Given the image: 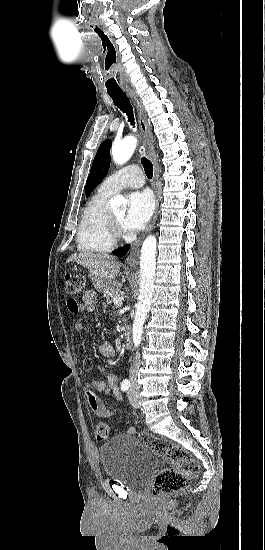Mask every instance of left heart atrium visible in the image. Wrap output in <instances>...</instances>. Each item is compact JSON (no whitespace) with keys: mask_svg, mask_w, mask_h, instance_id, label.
I'll return each instance as SVG.
<instances>
[{"mask_svg":"<svg viewBox=\"0 0 265 550\" xmlns=\"http://www.w3.org/2000/svg\"><path fill=\"white\" fill-rule=\"evenodd\" d=\"M154 208V202L148 191L134 192L129 197V208L124 217L123 226L127 231H138L145 227Z\"/></svg>","mask_w":265,"mask_h":550,"instance_id":"left-heart-atrium-1","label":"left heart atrium"}]
</instances>
